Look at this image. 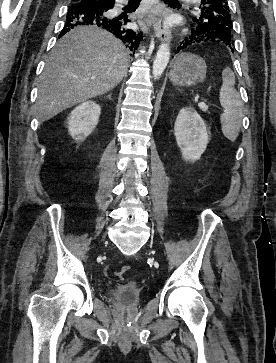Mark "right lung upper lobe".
Returning <instances> with one entry per match:
<instances>
[{
  "mask_svg": "<svg viewBox=\"0 0 276 363\" xmlns=\"http://www.w3.org/2000/svg\"><path fill=\"white\" fill-rule=\"evenodd\" d=\"M73 1H77V0H73ZM99 1H101L103 3H114L115 2V0H99Z\"/></svg>",
  "mask_w": 276,
  "mask_h": 363,
  "instance_id": "obj_1",
  "label": "right lung upper lobe"
}]
</instances>
